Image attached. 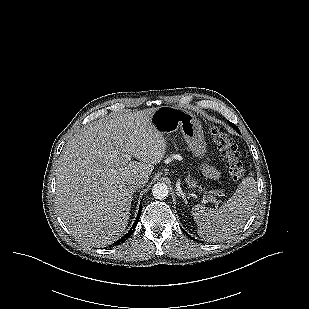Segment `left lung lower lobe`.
<instances>
[{"label": "left lung lower lobe", "instance_id": "0a47b994", "mask_svg": "<svg viewBox=\"0 0 309 309\" xmlns=\"http://www.w3.org/2000/svg\"><path fill=\"white\" fill-rule=\"evenodd\" d=\"M185 232V231H184ZM187 236L189 237V238H191L192 239V237H190L188 234H187Z\"/></svg>", "mask_w": 309, "mask_h": 309}]
</instances>
